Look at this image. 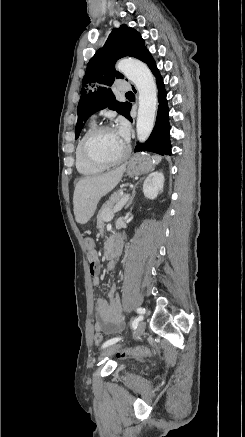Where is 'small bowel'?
<instances>
[{
    "label": "small bowel",
    "instance_id": "c3829d8e",
    "mask_svg": "<svg viewBox=\"0 0 245 437\" xmlns=\"http://www.w3.org/2000/svg\"><path fill=\"white\" fill-rule=\"evenodd\" d=\"M100 264L95 262L94 269H90L93 278V284L100 283ZM110 301L107 302L104 298H99L95 304L96 325L97 330L103 331L106 334H114L121 331L123 327V315L119 299L116 296V286H111L109 290Z\"/></svg>",
    "mask_w": 245,
    "mask_h": 437
}]
</instances>
